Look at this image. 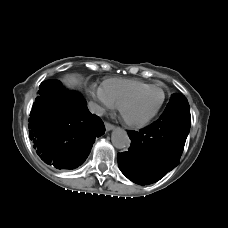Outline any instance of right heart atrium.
Listing matches in <instances>:
<instances>
[{"label": "right heart atrium", "instance_id": "obj_1", "mask_svg": "<svg viewBox=\"0 0 228 228\" xmlns=\"http://www.w3.org/2000/svg\"><path fill=\"white\" fill-rule=\"evenodd\" d=\"M90 94L92 98L97 102V106L99 109H112L114 105L111 101L105 96L101 89L95 90L91 88Z\"/></svg>", "mask_w": 228, "mask_h": 228}]
</instances>
